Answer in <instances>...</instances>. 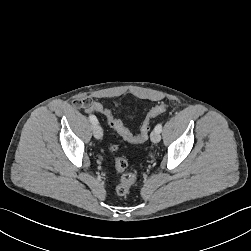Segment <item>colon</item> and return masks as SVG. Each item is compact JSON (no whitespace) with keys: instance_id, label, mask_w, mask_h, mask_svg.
<instances>
[{"instance_id":"colon-1","label":"colon","mask_w":251,"mask_h":251,"mask_svg":"<svg viewBox=\"0 0 251 251\" xmlns=\"http://www.w3.org/2000/svg\"><path fill=\"white\" fill-rule=\"evenodd\" d=\"M168 109V106L161 104L153 107L146 115L140 131L138 134H132L120 121H118V116L114 113V109L111 106H106L100 101H95L93 105L86 108L84 113L87 116L95 115L96 113L101 115L107 120V125L110 128H115L125 140L133 144H142L146 142L149 138L150 133V120L156 117L159 114L164 113ZM112 152L116 151V148L113 146L111 148ZM127 168V162L124 158L116 156L115 157V169L122 173ZM137 176L133 172L122 174L119 182L117 183L115 190L118 195H126L132 185L136 182Z\"/></svg>"}]
</instances>
